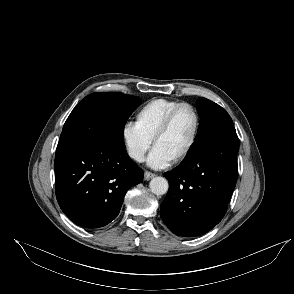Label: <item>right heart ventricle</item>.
Instances as JSON below:
<instances>
[{
  "mask_svg": "<svg viewBox=\"0 0 294 294\" xmlns=\"http://www.w3.org/2000/svg\"><path fill=\"white\" fill-rule=\"evenodd\" d=\"M181 102L157 98L147 102L136 114V123L151 139L165 116Z\"/></svg>",
  "mask_w": 294,
  "mask_h": 294,
  "instance_id": "right-heart-ventricle-1",
  "label": "right heart ventricle"
}]
</instances>
